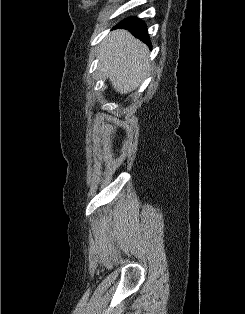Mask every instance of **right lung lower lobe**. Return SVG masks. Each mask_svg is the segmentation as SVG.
<instances>
[{"instance_id":"98d812e1","label":"right lung lower lobe","mask_w":245,"mask_h":314,"mask_svg":"<svg viewBox=\"0 0 245 314\" xmlns=\"http://www.w3.org/2000/svg\"><path fill=\"white\" fill-rule=\"evenodd\" d=\"M116 27L125 28L129 30L135 37L141 39L143 42L147 43L148 45H151L149 36L147 33V28L145 24L142 22V20L136 17H130L118 23Z\"/></svg>"}]
</instances>
